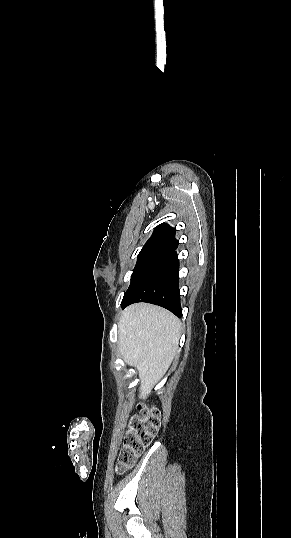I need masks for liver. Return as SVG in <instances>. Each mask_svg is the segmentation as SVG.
Returning <instances> with one entry per match:
<instances>
[{"instance_id":"6515ba94","label":"liver","mask_w":291,"mask_h":538,"mask_svg":"<svg viewBox=\"0 0 291 538\" xmlns=\"http://www.w3.org/2000/svg\"><path fill=\"white\" fill-rule=\"evenodd\" d=\"M181 322L159 306L138 303L123 310L118 326L119 352L137 369L140 394L147 396L178 353Z\"/></svg>"}]
</instances>
